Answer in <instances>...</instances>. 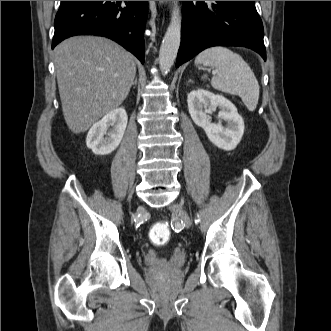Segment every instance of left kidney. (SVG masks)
<instances>
[{
    "label": "left kidney",
    "instance_id": "obj_1",
    "mask_svg": "<svg viewBox=\"0 0 331 331\" xmlns=\"http://www.w3.org/2000/svg\"><path fill=\"white\" fill-rule=\"evenodd\" d=\"M187 103L192 120L204 129L215 146L226 151L236 148L244 133V121L232 102L221 95L198 89L188 94ZM217 107L221 109L219 118L227 122L226 127L209 120L208 114L214 112Z\"/></svg>",
    "mask_w": 331,
    "mask_h": 331
}]
</instances>
